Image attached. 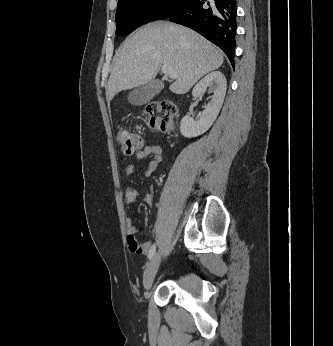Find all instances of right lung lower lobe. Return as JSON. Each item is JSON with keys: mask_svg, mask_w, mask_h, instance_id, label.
<instances>
[{"mask_svg": "<svg viewBox=\"0 0 333 346\" xmlns=\"http://www.w3.org/2000/svg\"><path fill=\"white\" fill-rule=\"evenodd\" d=\"M236 0H185L167 18L189 27L220 47L234 66Z\"/></svg>", "mask_w": 333, "mask_h": 346, "instance_id": "obj_1", "label": "right lung lower lobe"}]
</instances>
